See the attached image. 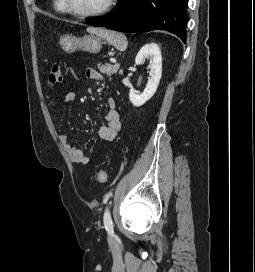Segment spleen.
<instances>
[{"label":"spleen","instance_id":"1","mask_svg":"<svg viewBox=\"0 0 255 272\" xmlns=\"http://www.w3.org/2000/svg\"><path fill=\"white\" fill-rule=\"evenodd\" d=\"M88 31L105 39L109 44L113 45L120 51H124L127 48V38L120 32L102 28H88Z\"/></svg>","mask_w":255,"mask_h":272}]
</instances>
